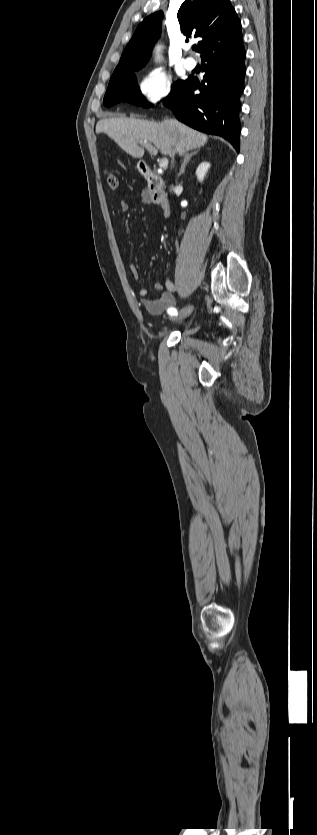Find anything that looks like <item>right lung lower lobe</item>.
Returning <instances> with one entry per match:
<instances>
[{
	"label": "right lung lower lobe",
	"instance_id": "98d812e1",
	"mask_svg": "<svg viewBox=\"0 0 317 835\" xmlns=\"http://www.w3.org/2000/svg\"><path fill=\"white\" fill-rule=\"evenodd\" d=\"M242 36L219 43L203 52L204 79L188 78L170 94L164 104L176 118L190 127L227 139L239 152L241 108L246 67ZM198 89L200 94L195 95Z\"/></svg>",
	"mask_w": 317,
	"mask_h": 835
}]
</instances>
